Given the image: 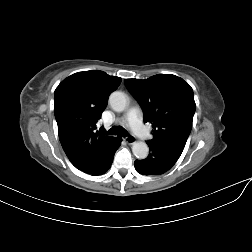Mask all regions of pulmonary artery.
<instances>
[{"label": "pulmonary artery", "instance_id": "e3ab8cb5", "mask_svg": "<svg viewBox=\"0 0 252 252\" xmlns=\"http://www.w3.org/2000/svg\"><path fill=\"white\" fill-rule=\"evenodd\" d=\"M126 121L131 129V131L142 138H147L149 132L144 126L140 118V112L137 108H131L126 114Z\"/></svg>", "mask_w": 252, "mask_h": 252}]
</instances>
